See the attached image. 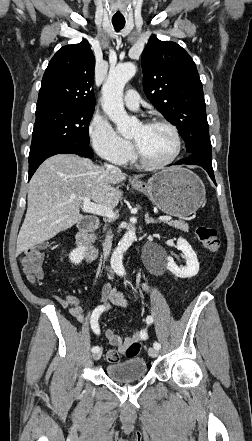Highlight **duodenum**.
<instances>
[{"instance_id": "obj_1", "label": "duodenum", "mask_w": 252, "mask_h": 441, "mask_svg": "<svg viewBox=\"0 0 252 441\" xmlns=\"http://www.w3.org/2000/svg\"><path fill=\"white\" fill-rule=\"evenodd\" d=\"M100 225V221L95 216L87 217L80 225L79 231L75 238L76 245L84 252L88 260H94L98 252L93 246L90 234Z\"/></svg>"}]
</instances>
